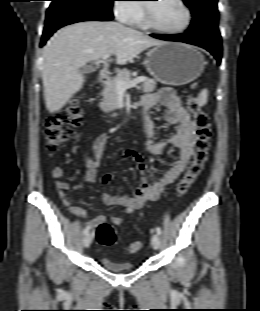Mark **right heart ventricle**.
<instances>
[{
    "label": "right heart ventricle",
    "instance_id": "right-heart-ventricle-1",
    "mask_svg": "<svg viewBox=\"0 0 260 311\" xmlns=\"http://www.w3.org/2000/svg\"><path fill=\"white\" fill-rule=\"evenodd\" d=\"M139 6V12L136 17L133 19L132 23L141 27H146L144 17H143V7L142 5Z\"/></svg>",
    "mask_w": 260,
    "mask_h": 311
}]
</instances>
